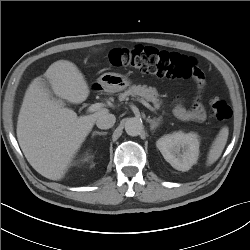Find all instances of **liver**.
Masks as SVG:
<instances>
[{
  "instance_id": "6515ba94",
  "label": "liver",
  "mask_w": 250,
  "mask_h": 250,
  "mask_svg": "<svg viewBox=\"0 0 250 250\" xmlns=\"http://www.w3.org/2000/svg\"><path fill=\"white\" fill-rule=\"evenodd\" d=\"M43 77L52 92L41 77L30 84L18 116L17 138L27 161L39 174L61 180L97 118L108 109L78 117L64 107L62 99L80 104L90 93L84 75L68 60L51 64Z\"/></svg>"
}]
</instances>
